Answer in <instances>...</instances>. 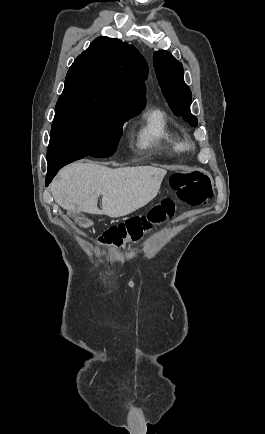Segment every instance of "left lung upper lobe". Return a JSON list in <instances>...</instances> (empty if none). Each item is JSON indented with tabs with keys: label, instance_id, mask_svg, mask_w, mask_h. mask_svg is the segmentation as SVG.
I'll use <instances>...</instances> for the list:
<instances>
[{
	"label": "left lung upper lobe",
	"instance_id": "left-lung-upper-lobe-1",
	"mask_svg": "<svg viewBox=\"0 0 265 434\" xmlns=\"http://www.w3.org/2000/svg\"><path fill=\"white\" fill-rule=\"evenodd\" d=\"M153 64L161 90L169 107L177 116L197 126V118L190 113L192 93L183 80V66L167 51H157Z\"/></svg>",
	"mask_w": 265,
	"mask_h": 434
}]
</instances>
